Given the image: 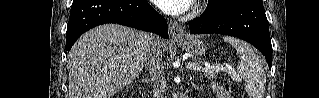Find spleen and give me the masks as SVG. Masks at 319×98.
<instances>
[{
    "label": "spleen",
    "mask_w": 319,
    "mask_h": 98,
    "mask_svg": "<svg viewBox=\"0 0 319 98\" xmlns=\"http://www.w3.org/2000/svg\"><path fill=\"white\" fill-rule=\"evenodd\" d=\"M223 39L237 51L240 59L237 66V78L244 81L249 98H264L266 75L259 57L247 43L237 38L224 37Z\"/></svg>",
    "instance_id": "spleen-1"
}]
</instances>
